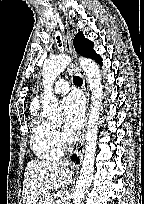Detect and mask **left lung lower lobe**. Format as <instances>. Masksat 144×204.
I'll list each match as a JSON object with an SVG mask.
<instances>
[{"instance_id": "0a47b994", "label": "left lung lower lobe", "mask_w": 144, "mask_h": 204, "mask_svg": "<svg viewBox=\"0 0 144 204\" xmlns=\"http://www.w3.org/2000/svg\"><path fill=\"white\" fill-rule=\"evenodd\" d=\"M100 65H102V59L101 57H98L97 59H95Z\"/></svg>"}]
</instances>
